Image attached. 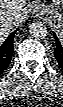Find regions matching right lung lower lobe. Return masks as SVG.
<instances>
[{
    "mask_svg": "<svg viewBox=\"0 0 63 107\" xmlns=\"http://www.w3.org/2000/svg\"><path fill=\"white\" fill-rule=\"evenodd\" d=\"M16 31L12 32L0 46V74L8 67L13 53V38Z\"/></svg>",
    "mask_w": 63,
    "mask_h": 107,
    "instance_id": "right-lung-lower-lobe-1",
    "label": "right lung lower lobe"
}]
</instances>
